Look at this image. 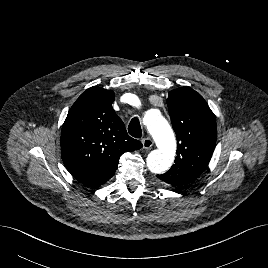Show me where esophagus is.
I'll return each mask as SVG.
<instances>
[{
  "mask_svg": "<svg viewBox=\"0 0 268 268\" xmlns=\"http://www.w3.org/2000/svg\"><path fill=\"white\" fill-rule=\"evenodd\" d=\"M142 145L144 149H150L153 147V141L150 137H146L142 140Z\"/></svg>",
  "mask_w": 268,
  "mask_h": 268,
  "instance_id": "34e87169",
  "label": "esophagus"
}]
</instances>
